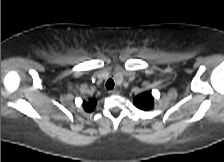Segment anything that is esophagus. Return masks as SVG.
Segmentation results:
<instances>
[{"label":"esophagus","instance_id":"1","mask_svg":"<svg viewBox=\"0 0 224 162\" xmlns=\"http://www.w3.org/2000/svg\"><path fill=\"white\" fill-rule=\"evenodd\" d=\"M108 93H109L110 95L119 94V90H118V89L109 90Z\"/></svg>","mask_w":224,"mask_h":162}]
</instances>
